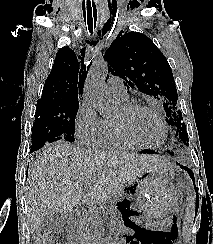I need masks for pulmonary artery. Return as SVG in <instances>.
<instances>
[{
  "mask_svg": "<svg viewBox=\"0 0 213 244\" xmlns=\"http://www.w3.org/2000/svg\"><path fill=\"white\" fill-rule=\"evenodd\" d=\"M106 88L109 93L121 98L124 101H128V94L120 77H109L106 83Z\"/></svg>",
  "mask_w": 213,
  "mask_h": 244,
  "instance_id": "1",
  "label": "pulmonary artery"
}]
</instances>
